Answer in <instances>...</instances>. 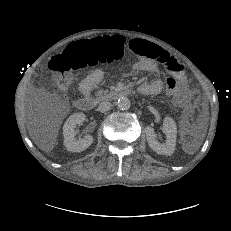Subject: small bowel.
Here are the masks:
<instances>
[{
    "mask_svg": "<svg viewBox=\"0 0 231 231\" xmlns=\"http://www.w3.org/2000/svg\"><path fill=\"white\" fill-rule=\"evenodd\" d=\"M128 49L137 55L136 60L132 64L135 71L147 72L150 74L159 73L158 62L180 81L184 82L185 75L183 66L180 62L164 51L158 45L144 39H132L127 43ZM163 62L161 59L164 58ZM104 73L101 70H94L83 78L79 84V89L83 95H89L93 89L102 81ZM163 89L161 79H154L150 82H144L139 85L138 91L144 95H157Z\"/></svg>",
    "mask_w": 231,
    "mask_h": 231,
    "instance_id": "c3829d8e",
    "label": "small bowel"
}]
</instances>
